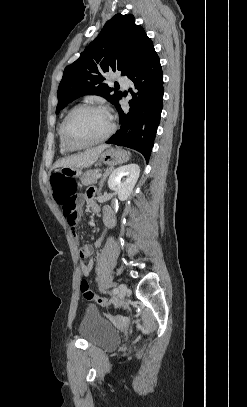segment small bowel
Returning a JSON list of instances; mask_svg holds the SVG:
<instances>
[{"label": "small bowel", "mask_w": 247, "mask_h": 407, "mask_svg": "<svg viewBox=\"0 0 247 407\" xmlns=\"http://www.w3.org/2000/svg\"><path fill=\"white\" fill-rule=\"evenodd\" d=\"M88 201L90 205L95 208L96 204L94 202V191L89 190L84 195H74L72 198L68 199L66 202L60 203L62 207V213L65 217L74 237H77V224L81 214V206L84 201ZM103 218L106 225L110 228L115 225V216L111 208L105 207L103 209ZM102 240L99 239L96 242L97 246H100ZM92 254V247L88 244L82 245L79 249V257L81 260V272L84 276H88L93 268V261L88 260Z\"/></svg>", "instance_id": "small-bowel-1"}]
</instances>
